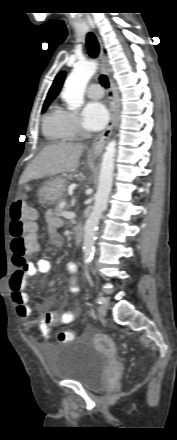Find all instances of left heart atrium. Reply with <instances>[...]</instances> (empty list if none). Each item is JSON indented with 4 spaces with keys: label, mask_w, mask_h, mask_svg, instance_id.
Here are the masks:
<instances>
[{
    "label": "left heart atrium",
    "mask_w": 177,
    "mask_h": 440,
    "mask_svg": "<svg viewBox=\"0 0 177 440\" xmlns=\"http://www.w3.org/2000/svg\"><path fill=\"white\" fill-rule=\"evenodd\" d=\"M108 118V110L101 102H89L82 110V124L89 131H99L104 128Z\"/></svg>",
    "instance_id": "39dd6f15"
}]
</instances>
